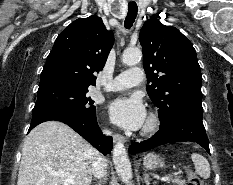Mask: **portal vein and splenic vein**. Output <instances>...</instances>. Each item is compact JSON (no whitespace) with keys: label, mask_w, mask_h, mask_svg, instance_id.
Here are the masks:
<instances>
[{"label":"portal vein and splenic vein","mask_w":233,"mask_h":185,"mask_svg":"<svg viewBox=\"0 0 233 185\" xmlns=\"http://www.w3.org/2000/svg\"><path fill=\"white\" fill-rule=\"evenodd\" d=\"M64 176V174H62ZM66 180L64 185H69V183H72L75 180V176L74 175H66ZM171 179V176H166V177H162L161 181L166 182L169 181Z\"/></svg>","instance_id":"portal-vein-and-splenic-vein-1"}]
</instances>
